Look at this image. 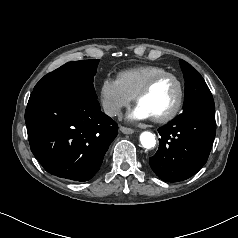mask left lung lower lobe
<instances>
[{
    "instance_id": "1",
    "label": "left lung lower lobe",
    "mask_w": 238,
    "mask_h": 238,
    "mask_svg": "<svg viewBox=\"0 0 238 238\" xmlns=\"http://www.w3.org/2000/svg\"><path fill=\"white\" fill-rule=\"evenodd\" d=\"M159 148L149 162L167 182L183 181L206 163L216 134L215 113L177 117L158 129Z\"/></svg>"
}]
</instances>
